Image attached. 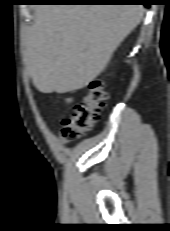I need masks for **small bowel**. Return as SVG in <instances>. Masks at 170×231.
<instances>
[{"instance_id":"small-bowel-1","label":"small bowel","mask_w":170,"mask_h":231,"mask_svg":"<svg viewBox=\"0 0 170 231\" xmlns=\"http://www.w3.org/2000/svg\"><path fill=\"white\" fill-rule=\"evenodd\" d=\"M59 141H60L61 143H65V142H66V139H65L62 135H60Z\"/></svg>"}]
</instances>
